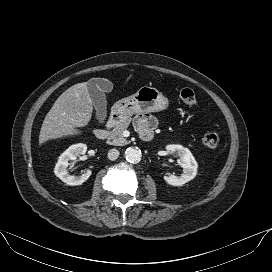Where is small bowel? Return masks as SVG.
<instances>
[{
	"label": "small bowel",
	"instance_id": "c3829d8e",
	"mask_svg": "<svg viewBox=\"0 0 272 272\" xmlns=\"http://www.w3.org/2000/svg\"><path fill=\"white\" fill-rule=\"evenodd\" d=\"M156 120L150 115H141L136 120V128L141 138L148 140V135L153 132L156 127Z\"/></svg>",
	"mask_w": 272,
	"mask_h": 272
}]
</instances>
